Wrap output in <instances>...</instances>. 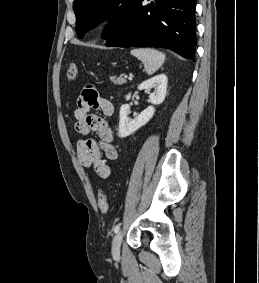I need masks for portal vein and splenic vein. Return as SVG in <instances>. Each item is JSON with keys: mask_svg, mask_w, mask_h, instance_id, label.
I'll return each mask as SVG.
<instances>
[{"mask_svg": "<svg viewBox=\"0 0 259 283\" xmlns=\"http://www.w3.org/2000/svg\"><path fill=\"white\" fill-rule=\"evenodd\" d=\"M126 77H128V76H126ZM128 79H129V80H132V75H130V76L128 77Z\"/></svg>", "mask_w": 259, "mask_h": 283, "instance_id": "1", "label": "portal vein and splenic vein"}]
</instances>
